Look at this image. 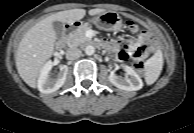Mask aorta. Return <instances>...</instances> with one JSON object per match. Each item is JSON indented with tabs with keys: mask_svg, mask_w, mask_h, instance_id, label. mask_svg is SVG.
Here are the masks:
<instances>
[{
	"mask_svg": "<svg viewBox=\"0 0 194 133\" xmlns=\"http://www.w3.org/2000/svg\"><path fill=\"white\" fill-rule=\"evenodd\" d=\"M94 52H95V48L92 45L86 46V48H85L86 55H89V56L93 55Z\"/></svg>",
	"mask_w": 194,
	"mask_h": 133,
	"instance_id": "aorta-1",
	"label": "aorta"
}]
</instances>
